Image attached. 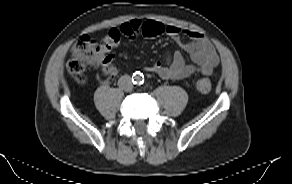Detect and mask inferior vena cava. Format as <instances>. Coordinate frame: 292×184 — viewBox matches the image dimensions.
Instances as JSON below:
<instances>
[{"label":"inferior vena cava","mask_w":292,"mask_h":184,"mask_svg":"<svg viewBox=\"0 0 292 184\" xmlns=\"http://www.w3.org/2000/svg\"><path fill=\"white\" fill-rule=\"evenodd\" d=\"M118 86L125 91H131L133 89L131 77L129 75L120 77L118 80Z\"/></svg>","instance_id":"1"}]
</instances>
